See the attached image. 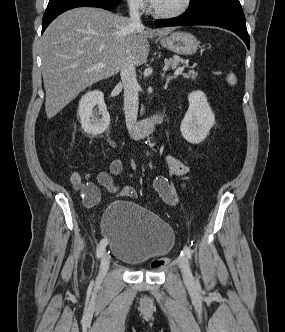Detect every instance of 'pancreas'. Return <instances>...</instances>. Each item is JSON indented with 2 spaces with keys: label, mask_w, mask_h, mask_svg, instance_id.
I'll use <instances>...</instances> for the list:
<instances>
[{
  "label": "pancreas",
  "mask_w": 285,
  "mask_h": 332,
  "mask_svg": "<svg viewBox=\"0 0 285 332\" xmlns=\"http://www.w3.org/2000/svg\"><path fill=\"white\" fill-rule=\"evenodd\" d=\"M165 64L169 65V66L172 67V68H175V67L179 64V61L176 60V59H172V58H170V59H166V60H165ZM196 76H197V73H195V72L192 71V70L189 71L188 74H184V77H185V78H189V77H191L192 79H195Z\"/></svg>",
  "instance_id": "1"
}]
</instances>
